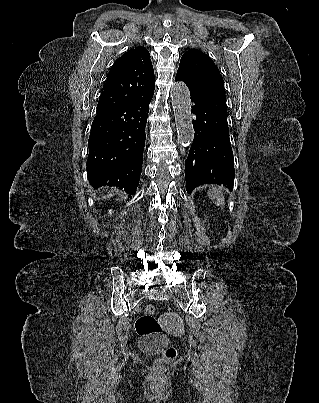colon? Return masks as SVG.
I'll list each match as a JSON object with an SVG mask.
<instances>
[{"label":"colon","mask_w":319,"mask_h":403,"mask_svg":"<svg viewBox=\"0 0 319 403\" xmlns=\"http://www.w3.org/2000/svg\"><path fill=\"white\" fill-rule=\"evenodd\" d=\"M155 312L154 306H147L144 313L137 319L135 327L141 337L149 338L162 333V327L154 316ZM161 357L165 362H173L177 357L176 349L172 346L164 348Z\"/></svg>","instance_id":"colon-1"}]
</instances>
